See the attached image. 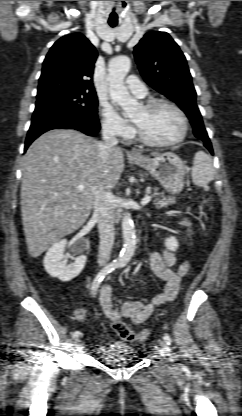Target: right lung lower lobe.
I'll return each instance as SVG.
<instances>
[{
  "mask_svg": "<svg viewBox=\"0 0 242 416\" xmlns=\"http://www.w3.org/2000/svg\"><path fill=\"white\" fill-rule=\"evenodd\" d=\"M76 129L88 135H94L100 129L99 121L85 122L80 119H74L70 116L59 114H45L32 120L30 129L25 141L26 151L29 145L41 134L52 129Z\"/></svg>",
  "mask_w": 242,
  "mask_h": 416,
  "instance_id": "1",
  "label": "right lung lower lobe"
}]
</instances>
